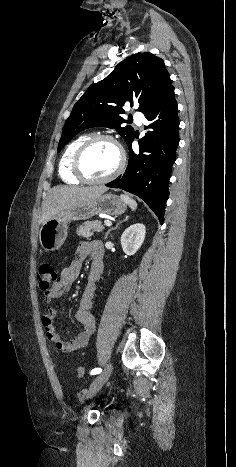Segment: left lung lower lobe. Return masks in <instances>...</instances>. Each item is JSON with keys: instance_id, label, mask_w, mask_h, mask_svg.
<instances>
[{"instance_id": "1", "label": "left lung lower lobe", "mask_w": 236, "mask_h": 467, "mask_svg": "<svg viewBox=\"0 0 236 467\" xmlns=\"http://www.w3.org/2000/svg\"><path fill=\"white\" fill-rule=\"evenodd\" d=\"M144 116L151 121L146 128L152 130L139 140L138 154L131 148L134 136L127 143L129 161L126 171L106 186L120 188L137 195L146 202L163 224L165 205L169 196L168 183L179 143L178 106L173 86Z\"/></svg>"}]
</instances>
